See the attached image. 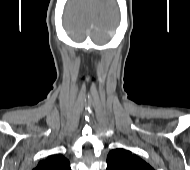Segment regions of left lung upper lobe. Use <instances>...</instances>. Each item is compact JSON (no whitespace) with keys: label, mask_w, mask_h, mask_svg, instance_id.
Listing matches in <instances>:
<instances>
[{"label":"left lung upper lobe","mask_w":190,"mask_h":170,"mask_svg":"<svg viewBox=\"0 0 190 170\" xmlns=\"http://www.w3.org/2000/svg\"><path fill=\"white\" fill-rule=\"evenodd\" d=\"M107 170H154V168L131 151L118 148L109 152Z\"/></svg>","instance_id":"obj_1"}]
</instances>
